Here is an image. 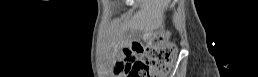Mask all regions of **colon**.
<instances>
[{
  "label": "colon",
  "instance_id": "obj_1",
  "mask_svg": "<svg viewBox=\"0 0 258 77\" xmlns=\"http://www.w3.org/2000/svg\"><path fill=\"white\" fill-rule=\"evenodd\" d=\"M177 56V47L163 32L150 34L140 49H128L116 70L126 77H163Z\"/></svg>",
  "mask_w": 258,
  "mask_h": 77
}]
</instances>
